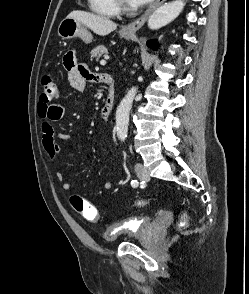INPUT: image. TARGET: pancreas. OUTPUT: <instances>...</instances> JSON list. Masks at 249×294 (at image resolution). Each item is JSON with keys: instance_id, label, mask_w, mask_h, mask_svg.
<instances>
[{"instance_id": "obj_1", "label": "pancreas", "mask_w": 249, "mask_h": 294, "mask_svg": "<svg viewBox=\"0 0 249 294\" xmlns=\"http://www.w3.org/2000/svg\"><path fill=\"white\" fill-rule=\"evenodd\" d=\"M90 54H91V60H93L94 58L98 60L103 54L107 55L108 51L103 45H100L94 48Z\"/></svg>"}]
</instances>
